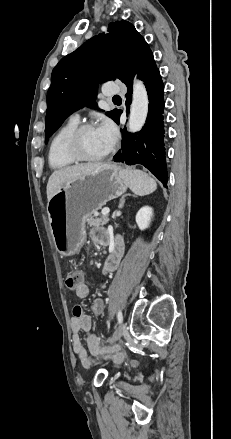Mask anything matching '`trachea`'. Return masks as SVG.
Returning <instances> with one entry per match:
<instances>
[{"instance_id": "3493384b", "label": "trachea", "mask_w": 231, "mask_h": 439, "mask_svg": "<svg viewBox=\"0 0 231 439\" xmlns=\"http://www.w3.org/2000/svg\"><path fill=\"white\" fill-rule=\"evenodd\" d=\"M117 99H121L119 95H115V96L113 97V100H117Z\"/></svg>"}]
</instances>
